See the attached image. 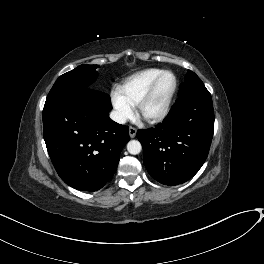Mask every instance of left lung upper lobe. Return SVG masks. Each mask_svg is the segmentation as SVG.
<instances>
[{"instance_id":"5c2ea615","label":"left lung upper lobe","mask_w":264,"mask_h":264,"mask_svg":"<svg viewBox=\"0 0 264 264\" xmlns=\"http://www.w3.org/2000/svg\"><path fill=\"white\" fill-rule=\"evenodd\" d=\"M198 90H207L201 79L191 70H188L184 82L180 85L178 97Z\"/></svg>"}]
</instances>
